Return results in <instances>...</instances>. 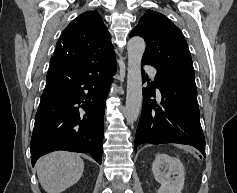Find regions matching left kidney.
I'll return each mask as SVG.
<instances>
[{
	"instance_id": "left-kidney-1",
	"label": "left kidney",
	"mask_w": 237,
	"mask_h": 193,
	"mask_svg": "<svg viewBox=\"0 0 237 193\" xmlns=\"http://www.w3.org/2000/svg\"><path fill=\"white\" fill-rule=\"evenodd\" d=\"M152 172L155 180L161 184L157 193H182L185 170L178 158L167 154L157 155L152 164Z\"/></svg>"
}]
</instances>
